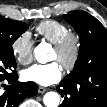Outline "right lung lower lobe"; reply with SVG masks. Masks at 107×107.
<instances>
[{
	"label": "right lung lower lobe",
	"instance_id": "98d812e1",
	"mask_svg": "<svg viewBox=\"0 0 107 107\" xmlns=\"http://www.w3.org/2000/svg\"><path fill=\"white\" fill-rule=\"evenodd\" d=\"M18 76L15 73L13 76L6 79L10 86H5L3 81H0V107H18L20 102L27 98L36 95L38 86L34 82H18ZM5 86V91L1 87Z\"/></svg>",
	"mask_w": 107,
	"mask_h": 107
}]
</instances>
